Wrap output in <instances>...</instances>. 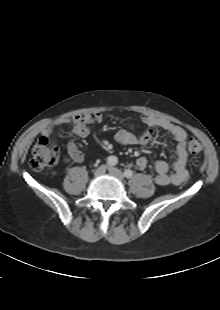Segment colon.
<instances>
[{
    "label": "colon",
    "instance_id": "1",
    "mask_svg": "<svg viewBox=\"0 0 220 310\" xmlns=\"http://www.w3.org/2000/svg\"><path fill=\"white\" fill-rule=\"evenodd\" d=\"M187 150L192 155H197L202 151V145L197 140H191L187 145ZM59 159V150L46 138H41L34 145L30 158V167L34 170H43L54 166Z\"/></svg>",
    "mask_w": 220,
    "mask_h": 310
}]
</instances>
